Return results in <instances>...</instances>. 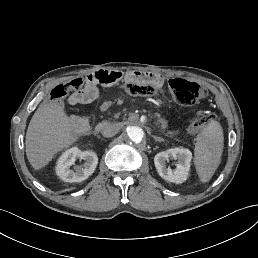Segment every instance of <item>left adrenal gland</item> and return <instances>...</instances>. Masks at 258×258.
<instances>
[{
	"label": "left adrenal gland",
	"instance_id": "left-adrenal-gland-1",
	"mask_svg": "<svg viewBox=\"0 0 258 258\" xmlns=\"http://www.w3.org/2000/svg\"><path fill=\"white\" fill-rule=\"evenodd\" d=\"M152 137L155 139V141H158V142L164 141V139L161 138V137H158V136H155V135H152Z\"/></svg>",
	"mask_w": 258,
	"mask_h": 258
}]
</instances>
